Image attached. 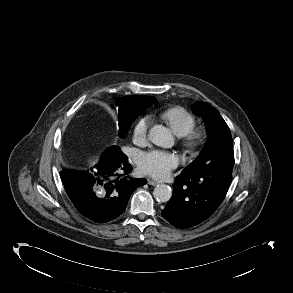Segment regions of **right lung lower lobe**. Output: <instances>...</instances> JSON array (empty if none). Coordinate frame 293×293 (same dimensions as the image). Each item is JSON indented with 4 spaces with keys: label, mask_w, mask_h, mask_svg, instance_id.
<instances>
[{
    "label": "right lung lower lobe",
    "mask_w": 293,
    "mask_h": 293,
    "mask_svg": "<svg viewBox=\"0 0 293 293\" xmlns=\"http://www.w3.org/2000/svg\"><path fill=\"white\" fill-rule=\"evenodd\" d=\"M118 148L117 146H115ZM109 148L98 164L87 171L63 169L60 172L66 193L80 214L96 223H105L120 216L133 191L147 183L146 179L119 178L132 171L127 156Z\"/></svg>",
    "instance_id": "obj_1"
}]
</instances>
